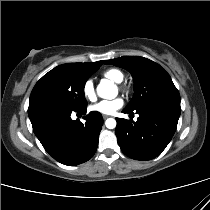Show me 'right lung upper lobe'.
<instances>
[{
	"label": "right lung upper lobe",
	"instance_id": "obj_1",
	"mask_svg": "<svg viewBox=\"0 0 210 210\" xmlns=\"http://www.w3.org/2000/svg\"><path fill=\"white\" fill-rule=\"evenodd\" d=\"M104 61H98V62H93V63H67V64H64V65H68V66H71V67H74V68H84L88 65H91V64H103Z\"/></svg>",
	"mask_w": 210,
	"mask_h": 210
}]
</instances>
